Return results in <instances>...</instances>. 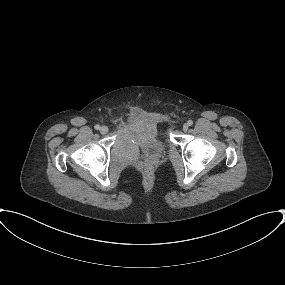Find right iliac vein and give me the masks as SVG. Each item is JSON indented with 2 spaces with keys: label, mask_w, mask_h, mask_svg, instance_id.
<instances>
[{
  "label": "right iliac vein",
  "mask_w": 285,
  "mask_h": 285,
  "mask_svg": "<svg viewBox=\"0 0 285 285\" xmlns=\"http://www.w3.org/2000/svg\"><path fill=\"white\" fill-rule=\"evenodd\" d=\"M108 127L107 126H102L101 128H100V133L101 134H106L107 132H108Z\"/></svg>",
  "instance_id": "obj_1"
}]
</instances>
